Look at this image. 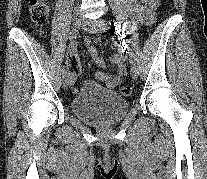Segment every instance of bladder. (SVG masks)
<instances>
[{
  "mask_svg": "<svg viewBox=\"0 0 207 179\" xmlns=\"http://www.w3.org/2000/svg\"><path fill=\"white\" fill-rule=\"evenodd\" d=\"M70 108L84 122L105 125L121 120L128 111L129 102L114 91L86 82L71 99Z\"/></svg>",
  "mask_w": 207,
  "mask_h": 179,
  "instance_id": "1",
  "label": "bladder"
}]
</instances>
